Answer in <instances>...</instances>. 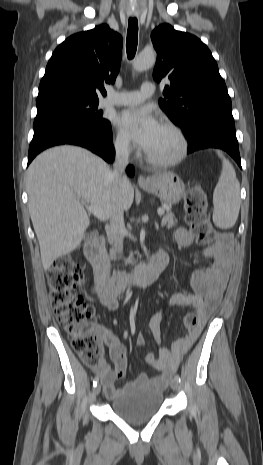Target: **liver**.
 Instances as JSON below:
<instances>
[{"mask_svg":"<svg viewBox=\"0 0 263 465\" xmlns=\"http://www.w3.org/2000/svg\"><path fill=\"white\" fill-rule=\"evenodd\" d=\"M26 182L45 270L80 246L90 225L83 203L100 207L111 218L117 205L127 211L134 200L130 182L115 187L107 163L75 146H58L38 155L27 169Z\"/></svg>","mask_w":263,"mask_h":465,"instance_id":"obj_1","label":"liver"}]
</instances>
